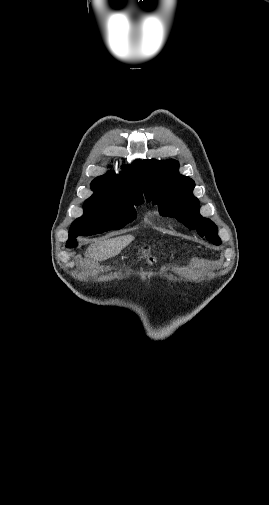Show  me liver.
Returning <instances> with one entry per match:
<instances>
[{
    "label": "liver",
    "mask_w": 269,
    "mask_h": 505,
    "mask_svg": "<svg viewBox=\"0 0 269 505\" xmlns=\"http://www.w3.org/2000/svg\"><path fill=\"white\" fill-rule=\"evenodd\" d=\"M133 240L134 236L124 235L112 239L98 241L88 248L86 256L97 261L107 260L118 255Z\"/></svg>",
    "instance_id": "liver-1"
}]
</instances>
